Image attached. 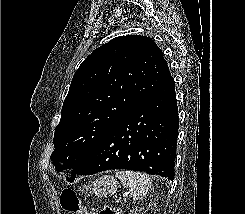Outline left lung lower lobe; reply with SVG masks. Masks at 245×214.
Returning <instances> with one entry per match:
<instances>
[{"label": "left lung lower lobe", "mask_w": 245, "mask_h": 214, "mask_svg": "<svg viewBox=\"0 0 245 214\" xmlns=\"http://www.w3.org/2000/svg\"><path fill=\"white\" fill-rule=\"evenodd\" d=\"M174 79L170 76L133 107L83 158L67 178L109 169L143 171L173 181L179 128Z\"/></svg>", "instance_id": "1"}]
</instances>
